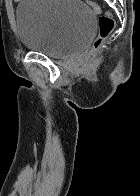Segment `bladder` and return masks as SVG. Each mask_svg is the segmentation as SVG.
Listing matches in <instances>:
<instances>
[{"mask_svg": "<svg viewBox=\"0 0 140 196\" xmlns=\"http://www.w3.org/2000/svg\"><path fill=\"white\" fill-rule=\"evenodd\" d=\"M96 13L81 0H21L16 7L22 45L50 58L85 49L96 34Z\"/></svg>", "mask_w": 140, "mask_h": 196, "instance_id": "bladder-1", "label": "bladder"}]
</instances>
